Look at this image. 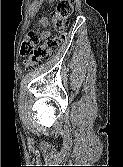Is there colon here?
<instances>
[{"instance_id": "obj_1", "label": "colon", "mask_w": 123, "mask_h": 167, "mask_svg": "<svg viewBox=\"0 0 123 167\" xmlns=\"http://www.w3.org/2000/svg\"><path fill=\"white\" fill-rule=\"evenodd\" d=\"M74 10L72 0H59L56 10L53 14V28L58 34L49 38L44 45L38 46V32L36 30L29 31L20 47V53L26 57L25 65L27 68H33L41 64L51 53L57 51L61 45L68 19Z\"/></svg>"}]
</instances>
